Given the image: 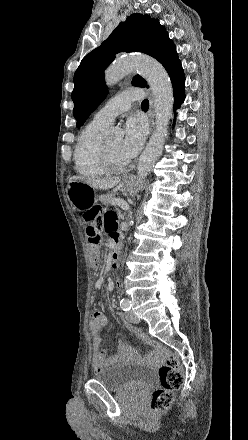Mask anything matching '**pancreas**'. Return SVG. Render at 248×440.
Wrapping results in <instances>:
<instances>
[{
  "mask_svg": "<svg viewBox=\"0 0 248 440\" xmlns=\"http://www.w3.org/2000/svg\"><path fill=\"white\" fill-rule=\"evenodd\" d=\"M114 195L113 194H108V195H101L99 200L101 201V203H103L104 205H109L112 204V200H114Z\"/></svg>",
  "mask_w": 248,
  "mask_h": 440,
  "instance_id": "cf45deb5",
  "label": "pancreas"
}]
</instances>
